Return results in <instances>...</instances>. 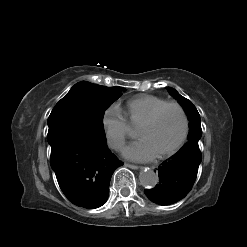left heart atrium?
<instances>
[{
  "label": "left heart atrium",
  "instance_id": "left-heart-atrium-1",
  "mask_svg": "<svg viewBox=\"0 0 247 247\" xmlns=\"http://www.w3.org/2000/svg\"><path fill=\"white\" fill-rule=\"evenodd\" d=\"M123 155L127 159L142 162L153 159L156 153L145 139L139 138L124 148Z\"/></svg>",
  "mask_w": 247,
  "mask_h": 247
}]
</instances>
